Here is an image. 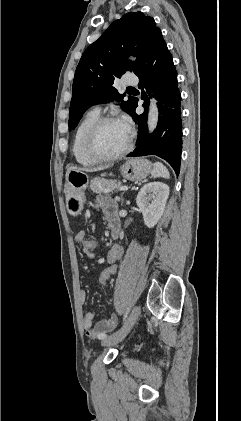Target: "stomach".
<instances>
[{
	"mask_svg": "<svg viewBox=\"0 0 241 421\" xmlns=\"http://www.w3.org/2000/svg\"><path fill=\"white\" fill-rule=\"evenodd\" d=\"M121 175L130 181L145 179L152 172V164L144 158L127 160L120 167ZM89 178L86 173L79 170H72L66 177L64 186L66 209L71 216H78L84 209L85 189Z\"/></svg>",
	"mask_w": 241,
	"mask_h": 421,
	"instance_id": "obj_1",
	"label": "stomach"
}]
</instances>
